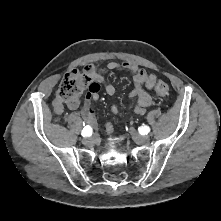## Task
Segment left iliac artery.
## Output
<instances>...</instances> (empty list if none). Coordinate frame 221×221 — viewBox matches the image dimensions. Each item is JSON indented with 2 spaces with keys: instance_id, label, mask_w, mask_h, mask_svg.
Here are the masks:
<instances>
[{
  "instance_id": "left-iliac-artery-1",
  "label": "left iliac artery",
  "mask_w": 221,
  "mask_h": 221,
  "mask_svg": "<svg viewBox=\"0 0 221 221\" xmlns=\"http://www.w3.org/2000/svg\"><path fill=\"white\" fill-rule=\"evenodd\" d=\"M139 132L142 135L148 134L150 132V127L147 125L139 127Z\"/></svg>"
}]
</instances>
